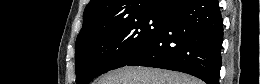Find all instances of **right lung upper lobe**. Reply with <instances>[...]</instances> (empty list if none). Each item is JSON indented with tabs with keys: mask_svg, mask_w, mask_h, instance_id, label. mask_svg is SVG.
Wrapping results in <instances>:
<instances>
[{
	"mask_svg": "<svg viewBox=\"0 0 260 84\" xmlns=\"http://www.w3.org/2000/svg\"><path fill=\"white\" fill-rule=\"evenodd\" d=\"M188 0H91L83 14V27L78 42L90 39L101 25L145 14H168Z\"/></svg>",
	"mask_w": 260,
	"mask_h": 84,
	"instance_id": "obj_1",
	"label": "right lung upper lobe"
}]
</instances>
